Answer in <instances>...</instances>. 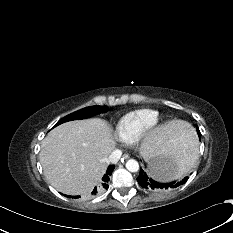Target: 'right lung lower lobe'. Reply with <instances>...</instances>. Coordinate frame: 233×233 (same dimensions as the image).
I'll return each mask as SVG.
<instances>
[{"label":"right lung lower lobe","instance_id":"98d812e1","mask_svg":"<svg viewBox=\"0 0 233 233\" xmlns=\"http://www.w3.org/2000/svg\"><path fill=\"white\" fill-rule=\"evenodd\" d=\"M114 170V165H109V167L107 168L106 173L104 174V176L102 177V179L100 180L99 185H96L94 188H92L90 191L92 195H97L98 193L103 192L105 189L108 188V181H109V177L112 174ZM66 196V195H65ZM69 198H78L79 196H68Z\"/></svg>","mask_w":233,"mask_h":233}]
</instances>
